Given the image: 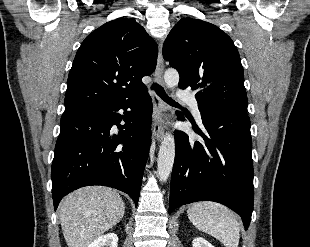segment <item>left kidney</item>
Listing matches in <instances>:
<instances>
[{
  "mask_svg": "<svg viewBox=\"0 0 310 247\" xmlns=\"http://www.w3.org/2000/svg\"><path fill=\"white\" fill-rule=\"evenodd\" d=\"M192 245L193 247H214L211 243L201 237L193 239Z\"/></svg>",
  "mask_w": 310,
  "mask_h": 247,
  "instance_id": "obj_1",
  "label": "left kidney"
}]
</instances>
